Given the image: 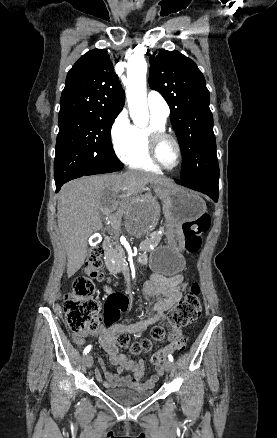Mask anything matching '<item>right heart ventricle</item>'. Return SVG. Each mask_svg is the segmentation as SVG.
<instances>
[{"instance_id":"e07e8e85","label":"right heart ventricle","mask_w":277,"mask_h":438,"mask_svg":"<svg viewBox=\"0 0 277 438\" xmlns=\"http://www.w3.org/2000/svg\"><path fill=\"white\" fill-rule=\"evenodd\" d=\"M151 66V65H150ZM164 130L165 121L151 116L150 128ZM147 128L131 125V136L128 144L118 151L121 160L130 169H138L150 173H160V168L152 161L148 150L146 135Z\"/></svg>"}]
</instances>
